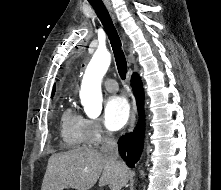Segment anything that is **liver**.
<instances>
[{
    "mask_svg": "<svg viewBox=\"0 0 221 190\" xmlns=\"http://www.w3.org/2000/svg\"><path fill=\"white\" fill-rule=\"evenodd\" d=\"M98 179L100 186L121 190L129 171L124 163L118 165L96 149L79 147L49 158L41 190H89Z\"/></svg>",
    "mask_w": 221,
    "mask_h": 190,
    "instance_id": "1",
    "label": "liver"
}]
</instances>
